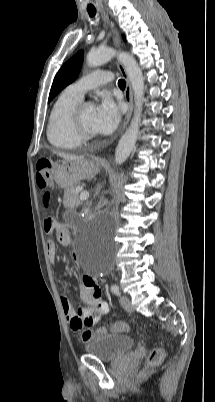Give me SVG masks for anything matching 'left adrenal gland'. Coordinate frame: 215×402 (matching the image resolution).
I'll return each instance as SVG.
<instances>
[{
    "label": "left adrenal gland",
    "instance_id": "1",
    "mask_svg": "<svg viewBox=\"0 0 215 402\" xmlns=\"http://www.w3.org/2000/svg\"><path fill=\"white\" fill-rule=\"evenodd\" d=\"M100 190H101V186H100V184H99V185L97 186V189H96V194H99Z\"/></svg>",
    "mask_w": 215,
    "mask_h": 402
}]
</instances>
